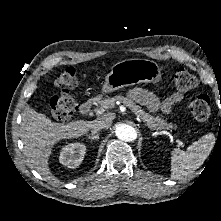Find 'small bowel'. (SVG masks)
Segmentation results:
<instances>
[{
	"mask_svg": "<svg viewBox=\"0 0 221 221\" xmlns=\"http://www.w3.org/2000/svg\"><path fill=\"white\" fill-rule=\"evenodd\" d=\"M129 97L145 106L151 112L161 110L168 114L174 104L180 103L184 99V94L182 92H175L161 102L151 91L135 87L129 91Z\"/></svg>",
	"mask_w": 221,
	"mask_h": 221,
	"instance_id": "obj_1",
	"label": "small bowel"
}]
</instances>
